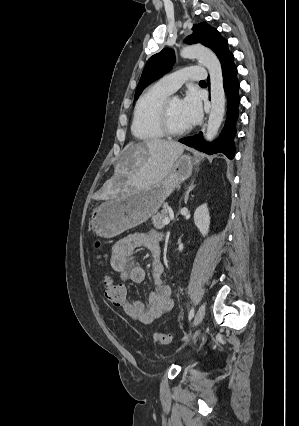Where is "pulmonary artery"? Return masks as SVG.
Wrapping results in <instances>:
<instances>
[{"label":"pulmonary artery","instance_id":"1","mask_svg":"<svg viewBox=\"0 0 299 426\" xmlns=\"http://www.w3.org/2000/svg\"><path fill=\"white\" fill-rule=\"evenodd\" d=\"M204 78L205 70L203 67L188 66L163 76L158 82L172 93L186 81H199Z\"/></svg>","mask_w":299,"mask_h":426}]
</instances>
